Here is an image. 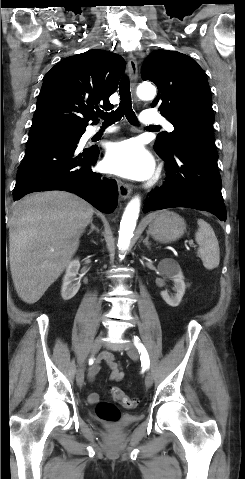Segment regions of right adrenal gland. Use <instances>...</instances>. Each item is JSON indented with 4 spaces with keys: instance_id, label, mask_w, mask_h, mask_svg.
Masks as SVG:
<instances>
[{
    "instance_id": "2a0ac1e0",
    "label": "right adrenal gland",
    "mask_w": 245,
    "mask_h": 479,
    "mask_svg": "<svg viewBox=\"0 0 245 479\" xmlns=\"http://www.w3.org/2000/svg\"><path fill=\"white\" fill-rule=\"evenodd\" d=\"M90 225H91V226H90V230H89V232L87 233L88 235H90L94 230L97 231V232H99V229H98L97 227H95V225L93 224L92 220H91V222H90Z\"/></svg>"
}]
</instances>
